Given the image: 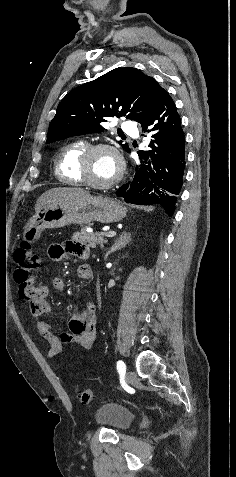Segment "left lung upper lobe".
Masks as SVG:
<instances>
[{"label": "left lung upper lobe", "mask_w": 236, "mask_h": 477, "mask_svg": "<svg viewBox=\"0 0 236 477\" xmlns=\"http://www.w3.org/2000/svg\"><path fill=\"white\" fill-rule=\"evenodd\" d=\"M162 87L136 68H116L70 91L57 107L47 143L104 130L102 123L126 117L141 125L153 113ZM119 144L130 152L127 143Z\"/></svg>", "instance_id": "1"}]
</instances>
